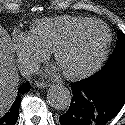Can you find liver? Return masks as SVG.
<instances>
[{
  "label": "liver",
  "instance_id": "liver-1",
  "mask_svg": "<svg viewBox=\"0 0 125 125\" xmlns=\"http://www.w3.org/2000/svg\"><path fill=\"white\" fill-rule=\"evenodd\" d=\"M10 41L9 34L0 25V116L14 101L19 84Z\"/></svg>",
  "mask_w": 125,
  "mask_h": 125
}]
</instances>
